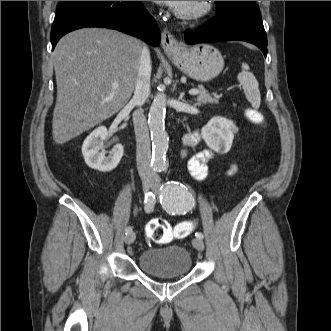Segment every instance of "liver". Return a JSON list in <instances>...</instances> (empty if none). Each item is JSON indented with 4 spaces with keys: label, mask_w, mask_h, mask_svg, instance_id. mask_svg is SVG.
Segmentation results:
<instances>
[{
    "label": "liver",
    "mask_w": 331,
    "mask_h": 331,
    "mask_svg": "<svg viewBox=\"0 0 331 331\" xmlns=\"http://www.w3.org/2000/svg\"><path fill=\"white\" fill-rule=\"evenodd\" d=\"M142 49L139 39L102 28L79 29L59 40L53 53L55 143L70 141L126 105L136 84Z\"/></svg>",
    "instance_id": "obj_1"
}]
</instances>
